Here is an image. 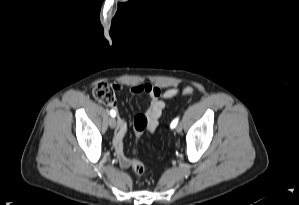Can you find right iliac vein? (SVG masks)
Listing matches in <instances>:
<instances>
[{
  "instance_id": "obj_1",
  "label": "right iliac vein",
  "mask_w": 299,
  "mask_h": 205,
  "mask_svg": "<svg viewBox=\"0 0 299 205\" xmlns=\"http://www.w3.org/2000/svg\"><path fill=\"white\" fill-rule=\"evenodd\" d=\"M109 126H110L112 129H114V128L116 127V119H115V117H111V118L109 119Z\"/></svg>"
}]
</instances>
